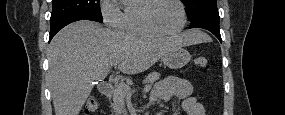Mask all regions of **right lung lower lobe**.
Returning <instances> with one entry per match:
<instances>
[{
    "label": "right lung lower lobe",
    "mask_w": 285,
    "mask_h": 115,
    "mask_svg": "<svg viewBox=\"0 0 285 115\" xmlns=\"http://www.w3.org/2000/svg\"><path fill=\"white\" fill-rule=\"evenodd\" d=\"M86 18H82V17H73V18H68L65 20H62L60 22H57L53 25H51V30H50V37H49V41H51V39L54 37V35L60 30L62 29L64 26L74 22V21H78V20H83ZM86 20H90V19H86Z\"/></svg>",
    "instance_id": "1"
}]
</instances>
